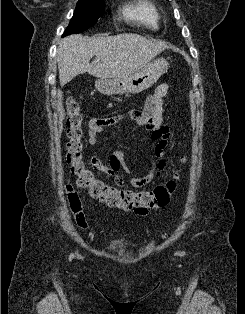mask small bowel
Returning a JSON list of instances; mask_svg holds the SVG:
<instances>
[{
  "label": "small bowel",
  "instance_id": "c3829d8e",
  "mask_svg": "<svg viewBox=\"0 0 245 314\" xmlns=\"http://www.w3.org/2000/svg\"><path fill=\"white\" fill-rule=\"evenodd\" d=\"M169 90L166 83L158 85L154 92L147 98L142 110L133 111L125 117L111 119L91 118L89 121L88 144L95 146L98 142V135L106 129L124 119L134 120L139 126L143 127L149 134L148 141L151 145L152 154L159 157L160 160L155 166L151 163L148 172L142 175L130 177L126 180L121 172H128L126 168V153L121 150L112 152L108 165H105L97 157H92L93 167L103 173L107 179L112 180L118 187L132 186L142 188L150 184L155 178L161 176L167 168L168 161L166 155L168 152L170 129L163 124L164 98ZM100 124H97V123ZM138 215H146L136 212ZM148 214V213H147Z\"/></svg>",
  "mask_w": 245,
  "mask_h": 314
}]
</instances>
